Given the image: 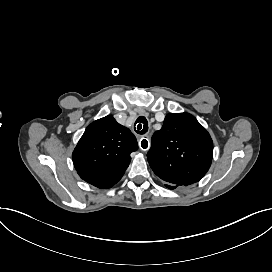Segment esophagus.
<instances>
[{"label": "esophagus", "mask_w": 272, "mask_h": 272, "mask_svg": "<svg viewBox=\"0 0 272 272\" xmlns=\"http://www.w3.org/2000/svg\"><path fill=\"white\" fill-rule=\"evenodd\" d=\"M139 147L142 151H147L150 148V140L147 137H143L139 140Z\"/></svg>", "instance_id": "esophagus-1"}]
</instances>
